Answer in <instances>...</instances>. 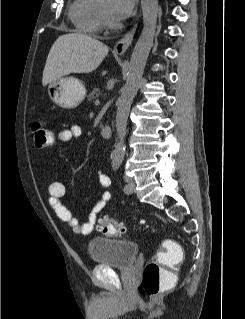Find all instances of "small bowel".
Masks as SVG:
<instances>
[{"instance_id":"1","label":"small bowel","mask_w":245,"mask_h":319,"mask_svg":"<svg viewBox=\"0 0 245 319\" xmlns=\"http://www.w3.org/2000/svg\"><path fill=\"white\" fill-rule=\"evenodd\" d=\"M82 135V128L79 125H72L69 128L62 129L58 133V140L62 143L69 142L73 139H78ZM99 184L104 189L100 199L92 207L87 221L81 223L80 220L74 217L71 211L61 202V198L66 192V185L62 181H52L49 185V205L54 209L60 220L67 223L75 234L82 236H91L94 232V225L96 223L98 214L105 209V207L112 200V193L109 190L110 178L103 172L97 173Z\"/></svg>"}]
</instances>
